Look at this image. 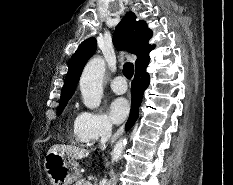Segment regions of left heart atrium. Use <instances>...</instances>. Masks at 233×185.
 <instances>
[{"mask_svg":"<svg viewBox=\"0 0 233 185\" xmlns=\"http://www.w3.org/2000/svg\"><path fill=\"white\" fill-rule=\"evenodd\" d=\"M129 112V104L124 98H115L111 101L108 108V115L113 123L122 122Z\"/></svg>","mask_w":233,"mask_h":185,"instance_id":"39dd6f15","label":"left heart atrium"}]
</instances>
